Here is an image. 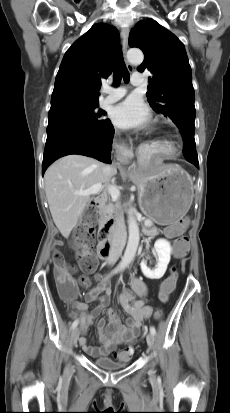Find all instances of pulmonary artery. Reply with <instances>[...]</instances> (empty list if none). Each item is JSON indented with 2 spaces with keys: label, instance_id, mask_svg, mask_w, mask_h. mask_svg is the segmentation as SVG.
Listing matches in <instances>:
<instances>
[{
  "label": "pulmonary artery",
  "instance_id": "1",
  "mask_svg": "<svg viewBox=\"0 0 230 413\" xmlns=\"http://www.w3.org/2000/svg\"><path fill=\"white\" fill-rule=\"evenodd\" d=\"M130 82L134 86L142 85L144 83L142 74L140 73L132 74ZM103 91H104L105 97L102 98L101 100L102 104L114 103L118 101L119 99H121L126 94V89L123 87L111 88V87L105 86Z\"/></svg>",
  "mask_w": 230,
  "mask_h": 413
}]
</instances>
